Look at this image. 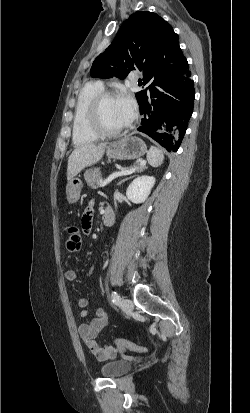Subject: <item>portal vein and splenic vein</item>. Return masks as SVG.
I'll return each mask as SVG.
<instances>
[{
	"instance_id": "portal-vein-and-splenic-vein-1",
	"label": "portal vein and splenic vein",
	"mask_w": 250,
	"mask_h": 413,
	"mask_svg": "<svg viewBox=\"0 0 250 413\" xmlns=\"http://www.w3.org/2000/svg\"><path fill=\"white\" fill-rule=\"evenodd\" d=\"M135 169H130V170H125V169H122V170H120L119 172H115V173H113L112 175H110L107 179H105V180H101V182H100V187H104V186H106V185H108L110 182H112L116 177H118V176H122V175H126V174H128V173H131L132 171H134Z\"/></svg>"
}]
</instances>
